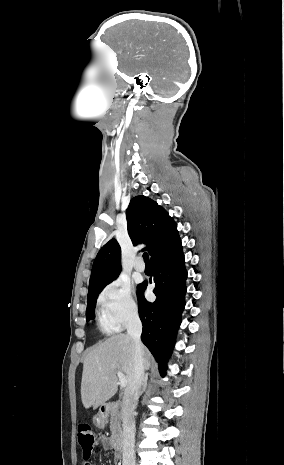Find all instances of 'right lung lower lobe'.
<instances>
[{"instance_id": "1", "label": "right lung lower lobe", "mask_w": 284, "mask_h": 465, "mask_svg": "<svg viewBox=\"0 0 284 465\" xmlns=\"http://www.w3.org/2000/svg\"><path fill=\"white\" fill-rule=\"evenodd\" d=\"M151 266L156 300L148 302L144 298L148 282L138 285V309L143 325L141 339L158 362L161 375L164 376L165 362L175 344L187 291V271L180 237L151 258Z\"/></svg>"}]
</instances>
